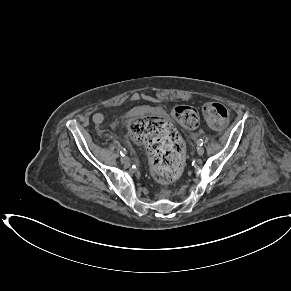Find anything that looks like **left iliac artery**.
Wrapping results in <instances>:
<instances>
[{
	"label": "left iliac artery",
	"mask_w": 291,
	"mask_h": 291,
	"mask_svg": "<svg viewBox=\"0 0 291 291\" xmlns=\"http://www.w3.org/2000/svg\"><path fill=\"white\" fill-rule=\"evenodd\" d=\"M197 144H198L199 146H202V145H203V140H202V139H199V140L197 141Z\"/></svg>",
	"instance_id": "44dca946"
}]
</instances>
